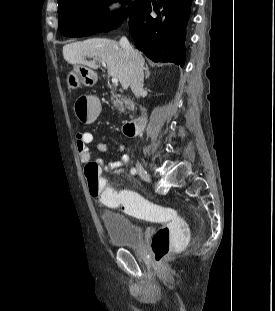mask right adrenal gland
<instances>
[{
	"mask_svg": "<svg viewBox=\"0 0 275 311\" xmlns=\"http://www.w3.org/2000/svg\"><path fill=\"white\" fill-rule=\"evenodd\" d=\"M144 69H145V74H146L145 78L148 79L150 77V71H149V67L147 64L145 65Z\"/></svg>",
	"mask_w": 275,
	"mask_h": 311,
	"instance_id": "1",
	"label": "right adrenal gland"
}]
</instances>
